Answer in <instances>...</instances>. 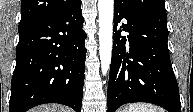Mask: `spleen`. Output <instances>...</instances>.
Segmentation results:
<instances>
[{"label": "spleen", "instance_id": "obj_1", "mask_svg": "<svg viewBox=\"0 0 193 112\" xmlns=\"http://www.w3.org/2000/svg\"><path fill=\"white\" fill-rule=\"evenodd\" d=\"M123 112H164V110L150 104L134 103L130 104Z\"/></svg>", "mask_w": 193, "mask_h": 112}]
</instances>
